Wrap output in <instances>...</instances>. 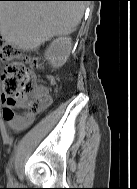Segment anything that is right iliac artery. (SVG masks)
<instances>
[{"mask_svg":"<svg viewBox=\"0 0 137 189\" xmlns=\"http://www.w3.org/2000/svg\"><path fill=\"white\" fill-rule=\"evenodd\" d=\"M7 172H8V174H9L8 181H9L10 183H12V182H13V178H12V176H11V166L8 168Z\"/></svg>","mask_w":137,"mask_h":189,"instance_id":"obj_1","label":"right iliac artery"}]
</instances>
